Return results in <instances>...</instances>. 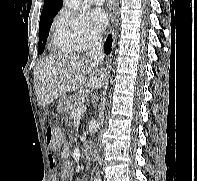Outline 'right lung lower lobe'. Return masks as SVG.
<instances>
[{
    "mask_svg": "<svg viewBox=\"0 0 197 181\" xmlns=\"http://www.w3.org/2000/svg\"><path fill=\"white\" fill-rule=\"evenodd\" d=\"M111 45H112V38L111 35L107 38L105 45H104V50L107 54L110 53L111 51Z\"/></svg>",
    "mask_w": 197,
    "mask_h": 181,
    "instance_id": "1",
    "label": "right lung lower lobe"
}]
</instances>
